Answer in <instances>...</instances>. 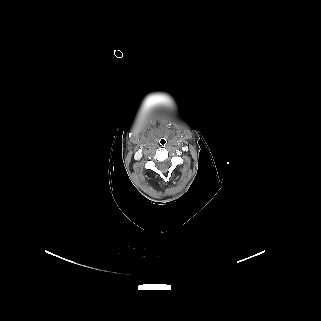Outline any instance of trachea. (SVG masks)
I'll list each match as a JSON object with an SVG mask.
<instances>
[{"mask_svg":"<svg viewBox=\"0 0 321 321\" xmlns=\"http://www.w3.org/2000/svg\"><path fill=\"white\" fill-rule=\"evenodd\" d=\"M160 144L162 145V146H165L166 144H167V140H166V138H161V140H160Z\"/></svg>","mask_w":321,"mask_h":321,"instance_id":"obj_1","label":"trachea"}]
</instances>
